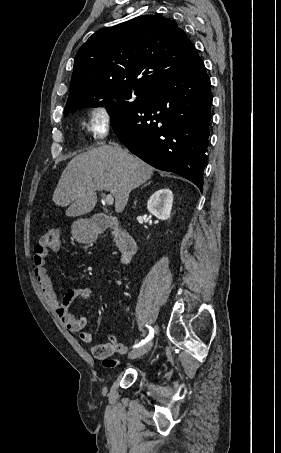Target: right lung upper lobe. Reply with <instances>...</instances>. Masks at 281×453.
Listing matches in <instances>:
<instances>
[{
  "mask_svg": "<svg viewBox=\"0 0 281 453\" xmlns=\"http://www.w3.org/2000/svg\"><path fill=\"white\" fill-rule=\"evenodd\" d=\"M198 57L187 34L163 16L143 15L99 30L76 54L64 115L140 96Z\"/></svg>",
  "mask_w": 281,
  "mask_h": 453,
  "instance_id": "right-lung-upper-lobe-1",
  "label": "right lung upper lobe"
}]
</instances>
